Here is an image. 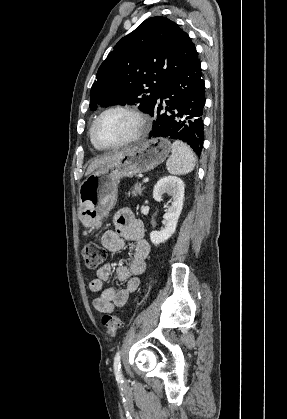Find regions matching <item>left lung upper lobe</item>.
<instances>
[{
  "instance_id": "1",
  "label": "left lung upper lobe",
  "mask_w": 287,
  "mask_h": 419,
  "mask_svg": "<svg viewBox=\"0 0 287 419\" xmlns=\"http://www.w3.org/2000/svg\"><path fill=\"white\" fill-rule=\"evenodd\" d=\"M197 58L190 37L177 24L149 18L118 41L99 67L90 108L137 103L149 113L161 87Z\"/></svg>"
}]
</instances>
